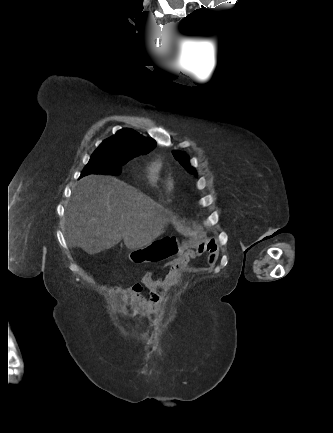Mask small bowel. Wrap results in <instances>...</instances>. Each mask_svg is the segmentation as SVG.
<instances>
[{
  "label": "small bowel",
  "instance_id": "1",
  "mask_svg": "<svg viewBox=\"0 0 333 433\" xmlns=\"http://www.w3.org/2000/svg\"><path fill=\"white\" fill-rule=\"evenodd\" d=\"M200 256H206L207 265L214 266L219 256L218 246L216 244L203 243L178 248L175 256L176 261L172 265L171 280L181 273L193 259ZM171 280H159L153 272L148 271L143 274L139 282L118 293L127 303L133 306L131 311L132 316H136L139 313L151 314L154 307H160L164 304V294L171 287ZM144 291L149 295V302L146 303L142 301V293Z\"/></svg>",
  "mask_w": 333,
  "mask_h": 433
}]
</instances>
